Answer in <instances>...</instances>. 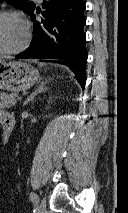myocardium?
I'll return each instance as SVG.
<instances>
[{
  "instance_id": "obj_1",
  "label": "myocardium",
  "mask_w": 128,
  "mask_h": 213,
  "mask_svg": "<svg viewBox=\"0 0 128 213\" xmlns=\"http://www.w3.org/2000/svg\"><path fill=\"white\" fill-rule=\"evenodd\" d=\"M3 16H12V17L17 18L24 26L25 36H24L22 43L18 47L14 48V49H8V50L0 49V55L5 56V55H15V54L21 53L28 47V45L31 41L30 24L21 12L14 10V9L0 10V17H3Z\"/></svg>"
}]
</instances>
